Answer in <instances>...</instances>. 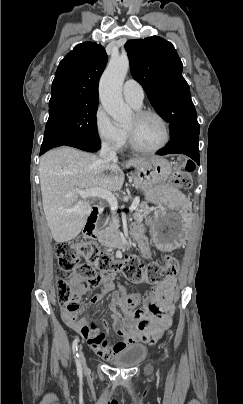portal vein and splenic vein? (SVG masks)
<instances>
[{
	"mask_svg": "<svg viewBox=\"0 0 243 404\" xmlns=\"http://www.w3.org/2000/svg\"><path fill=\"white\" fill-rule=\"evenodd\" d=\"M78 194H80L82 200H86V198H90V196L107 200V202H109L110 204L111 212H113V215H116V210H118V202L112 192H108V190H102V188H86V190H78ZM139 202L140 200L138 196H136L129 208V213H132L133 210H136Z\"/></svg>",
	"mask_w": 243,
	"mask_h": 404,
	"instance_id": "18ae733b",
	"label": "portal vein and splenic vein"
}]
</instances>
